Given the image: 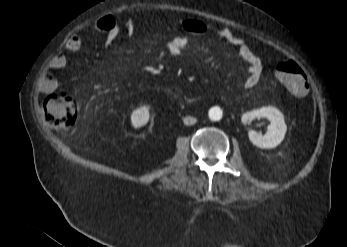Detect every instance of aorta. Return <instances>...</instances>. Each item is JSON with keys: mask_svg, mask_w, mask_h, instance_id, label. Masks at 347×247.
Segmentation results:
<instances>
[{"mask_svg": "<svg viewBox=\"0 0 347 247\" xmlns=\"http://www.w3.org/2000/svg\"><path fill=\"white\" fill-rule=\"evenodd\" d=\"M208 115L210 120L219 121L222 118V110L219 107L211 108Z\"/></svg>", "mask_w": 347, "mask_h": 247, "instance_id": "aorta-1", "label": "aorta"}]
</instances>
